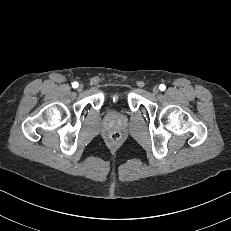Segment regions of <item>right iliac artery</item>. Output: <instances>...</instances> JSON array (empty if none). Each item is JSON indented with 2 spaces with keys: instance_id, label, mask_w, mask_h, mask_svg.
<instances>
[{
  "instance_id": "82829eb1",
  "label": "right iliac artery",
  "mask_w": 231,
  "mask_h": 231,
  "mask_svg": "<svg viewBox=\"0 0 231 231\" xmlns=\"http://www.w3.org/2000/svg\"><path fill=\"white\" fill-rule=\"evenodd\" d=\"M72 86H73V88H77L78 87V83L77 82H73Z\"/></svg>"
}]
</instances>
